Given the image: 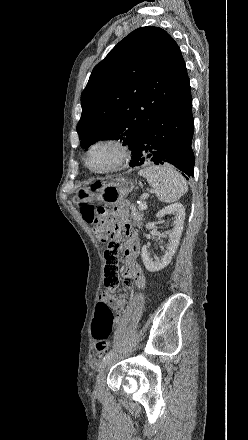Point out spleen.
<instances>
[{
  "mask_svg": "<svg viewBox=\"0 0 248 440\" xmlns=\"http://www.w3.org/2000/svg\"><path fill=\"white\" fill-rule=\"evenodd\" d=\"M139 175L147 179L158 199L165 203H173L188 191L184 178L171 167L150 165L139 171Z\"/></svg>",
  "mask_w": 248,
  "mask_h": 440,
  "instance_id": "spleen-1",
  "label": "spleen"
}]
</instances>
